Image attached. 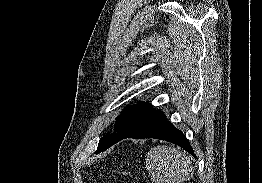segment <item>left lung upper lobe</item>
Here are the masks:
<instances>
[{
  "instance_id": "left-lung-upper-lobe-1",
  "label": "left lung upper lobe",
  "mask_w": 262,
  "mask_h": 183,
  "mask_svg": "<svg viewBox=\"0 0 262 183\" xmlns=\"http://www.w3.org/2000/svg\"><path fill=\"white\" fill-rule=\"evenodd\" d=\"M156 111L150 107V103L145 102L126 107L116 118L114 132L100 139L95 153L105 151L115 142L137 132Z\"/></svg>"
}]
</instances>
